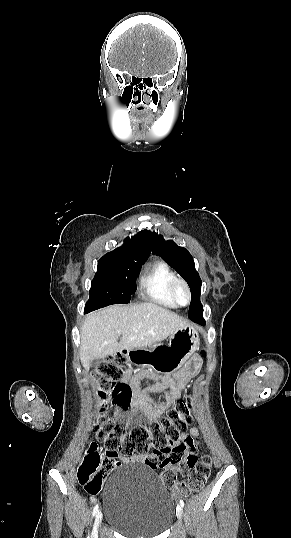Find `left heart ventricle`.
<instances>
[{"mask_svg": "<svg viewBox=\"0 0 291 538\" xmlns=\"http://www.w3.org/2000/svg\"><path fill=\"white\" fill-rule=\"evenodd\" d=\"M179 299H180L181 302L186 301V295H185L184 291H182V290L179 291Z\"/></svg>", "mask_w": 291, "mask_h": 538, "instance_id": "left-heart-ventricle-1", "label": "left heart ventricle"}]
</instances>
